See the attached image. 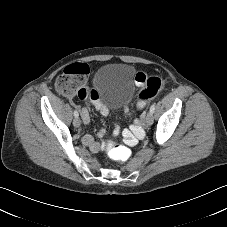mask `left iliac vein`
<instances>
[{"instance_id": "1", "label": "left iliac vein", "mask_w": 227, "mask_h": 227, "mask_svg": "<svg viewBox=\"0 0 227 227\" xmlns=\"http://www.w3.org/2000/svg\"><path fill=\"white\" fill-rule=\"evenodd\" d=\"M145 123L147 126H150L152 125L153 123V114L151 112H149L146 116V119H145Z\"/></svg>"}]
</instances>
